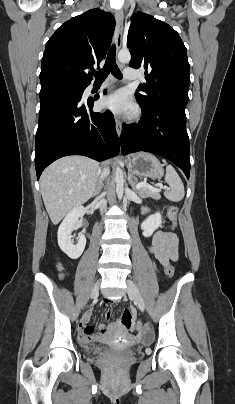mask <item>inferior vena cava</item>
<instances>
[{"label": "inferior vena cava", "mask_w": 235, "mask_h": 404, "mask_svg": "<svg viewBox=\"0 0 235 404\" xmlns=\"http://www.w3.org/2000/svg\"><path fill=\"white\" fill-rule=\"evenodd\" d=\"M108 174V169H103V171L101 172V180ZM100 208H101V212H103L106 208V201L101 200L100 201Z\"/></svg>", "instance_id": "inferior-vena-cava-1"}]
</instances>
